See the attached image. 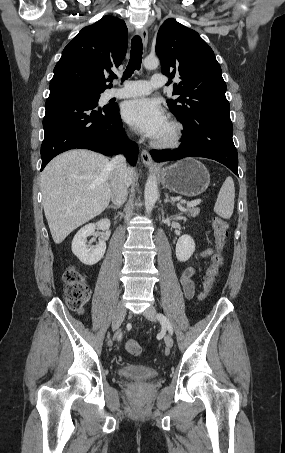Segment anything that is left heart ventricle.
I'll return each instance as SVG.
<instances>
[{
	"label": "left heart ventricle",
	"mask_w": 285,
	"mask_h": 453,
	"mask_svg": "<svg viewBox=\"0 0 285 453\" xmlns=\"http://www.w3.org/2000/svg\"><path fill=\"white\" fill-rule=\"evenodd\" d=\"M170 132H171V128H170L169 124L166 122L161 133L159 134V136L156 139H163V138L167 137L170 134Z\"/></svg>",
	"instance_id": "obj_1"
}]
</instances>
